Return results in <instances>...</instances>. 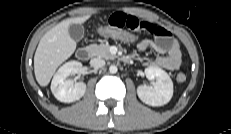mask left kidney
I'll return each instance as SVG.
<instances>
[{"label": "left kidney", "mask_w": 231, "mask_h": 134, "mask_svg": "<svg viewBox=\"0 0 231 134\" xmlns=\"http://www.w3.org/2000/svg\"><path fill=\"white\" fill-rule=\"evenodd\" d=\"M145 75L149 80L156 79V82L153 83L152 87L147 85L137 87L140 100L150 106L167 104L173 96V82L170 76L157 66L146 68Z\"/></svg>", "instance_id": "5707ae66"}]
</instances>
